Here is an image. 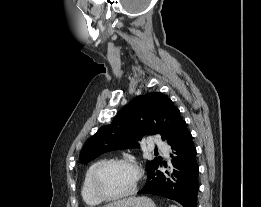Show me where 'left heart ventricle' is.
<instances>
[{"instance_id":"left-heart-ventricle-1","label":"left heart ventricle","mask_w":261,"mask_h":207,"mask_svg":"<svg viewBox=\"0 0 261 207\" xmlns=\"http://www.w3.org/2000/svg\"><path fill=\"white\" fill-rule=\"evenodd\" d=\"M136 180L135 170L128 165L115 164L103 171L99 185L108 195H116L128 191Z\"/></svg>"}]
</instances>
